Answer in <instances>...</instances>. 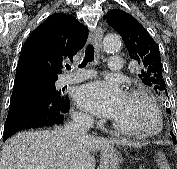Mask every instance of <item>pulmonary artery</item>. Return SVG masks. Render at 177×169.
I'll use <instances>...</instances> for the list:
<instances>
[{"label":"pulmonary artery","mask_w":177,"mask_h":169,"mask_svg":"<svg viewBox=\"0 0 177 169\" xmlns=\"http://www.w3.org/2000/svg\"><path fill=\"white\" fill-rule=\"evenodd\" d=\"M123 62L119 57H109L108 58V69L110 71L119 72L122 70ZM95 76L93 71L90 70H78L75 73L68 74L62 77L61 84L67 85L76 82H80L83 80L91 79Z\"/></svg>","instance_id":"e3ab8cb5"}]
</instances>
